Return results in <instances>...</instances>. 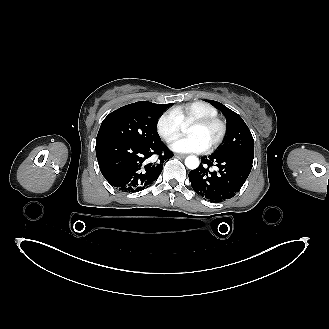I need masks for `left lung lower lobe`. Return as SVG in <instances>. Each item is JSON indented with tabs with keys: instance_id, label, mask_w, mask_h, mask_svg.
Returning <instances> with one entry per match:
<instances>
[{
	"instance_id": "1",
	"label": "left lung lower lobe",
	"mask_w": 329,
	"mask_h": 329,
	"mask_svg": "<svg viewBox=\"0 0 329 329\" xmlns=\"http://www.w3.org/2000/svg\"><path fill=\"white\" fill-rule=\"evenodd\" d=\"M253 158L213 153L201 158L200 166L190 171L194 191L206 200L222 202L236 195L249 176ZM215 165L216 171L210 170Z\"/></svg>"
}]
</instances>
